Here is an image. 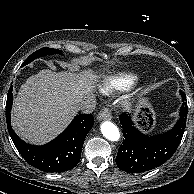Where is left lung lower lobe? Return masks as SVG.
<instances>
[{
	"label": "left lung lower lobe",
	"instance_id": "obj_1",
	"mask_svg": "<svg viewBox=\"0 0 194 194\" xmlns=\"http://www.w3.org/2000/svg\"><path fill=\"white\" fill-rule=\"evenodd\" d=\"M180 118L173 129L156 136L143 134L131 116L121 114L124 140L118 150L116 163L127 173H140L164 164L177 150L183 137L188 113L186 95L180 90Z\"/></svg>",
	"mask_w": 194,
	"mask_h": 194
}]
</instances>
